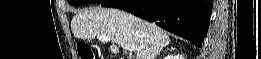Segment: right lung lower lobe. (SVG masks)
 Segmentation results:
<instances>
[{
    "label": "right lung lower lobe",
    "instance_id": "98d812e1",
    "mask_svg": "<svg viewBox=\"0 0 261 59\" xmlns=\"http://www.w3.org/2000/svg\"><path fill=\"white\" fill-rule=\"evenodd\" d=\"M212 0H104L118 8L185 38L201 48L208 32Z\"/></svg>",
    "mask_w": 261,
    "mask_h": 59
}]
</instances>
